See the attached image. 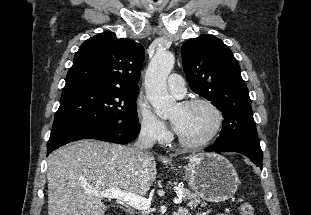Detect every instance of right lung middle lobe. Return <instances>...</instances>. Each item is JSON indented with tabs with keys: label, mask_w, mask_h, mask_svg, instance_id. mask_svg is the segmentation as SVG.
I'll return each mask as SVG.
<instances>
[{
	"label": "right lung middle lobe",
	"mask_w": 311,
	"mask_h": 215,
	"mask_svg": "<svg viewBox=\"0 0 311 215\" xmlns=\"http://www.w3.org/2000/svg\"><path fill=\"white\" fill-rule=\"evenodd\" d=\"M137 91L92 84L65 86L53 127L91 124L128 127L138 123Z\"/></svg>",
	"instance_id": "obj_1"
}]
</instances>
